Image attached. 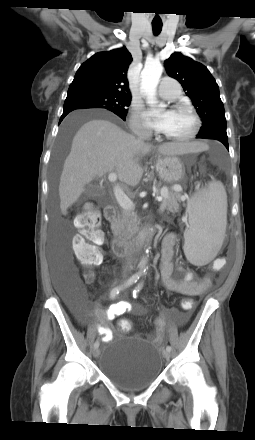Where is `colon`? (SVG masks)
Segmentation results:
<instances>
[{"instance_id":"colon-1","label":"colon","mask_w":255,"mask_h":440,"mask_svg":"<svg viewBox=\"0 0 255 440\" xmlns=\"http://www.w3.org/2000/svg\"><path fill=\"white\" fill-rule=\"evenodd\" d=\"M74 224L79 230V234L74 237L73 249L75 256L87 267H94L102 262L101 246L105 242V236L100 229L101 217L93 206H88L84 212L77 215ZM92 277L87 276L90 281ZM182 311L192 309V298H180ZM119 327L122 331L128 332L131 324L128 320H121Z\"/></svg>"}]
</instances>
